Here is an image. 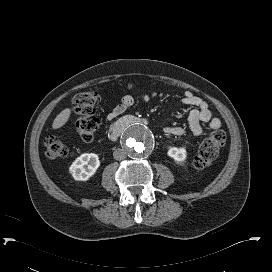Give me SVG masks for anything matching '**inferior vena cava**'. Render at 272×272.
I'll return each instance as SVG.
<instances>
[{"label":"inferior vena cava","instance_id":"602c4592","mask_svg":"<svg viewBox=\"0 0 272 272\" xmlns=\"http://www.w3.org/2000/svg\"><path fill=\"white\" fill-rule=\"evenodd\" d=\"M113 157L115 160H123L126 158V153L124 150L118 148L113 152Z\"/></svg>","mask_w":272,"mask_h":272}]
</instances>
